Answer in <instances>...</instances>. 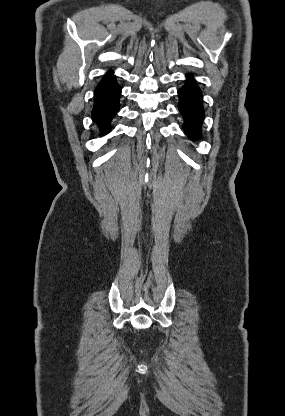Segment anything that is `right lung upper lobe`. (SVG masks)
Returning <instances> with one entry per match:
<instances>
[{
  "label": "right lung upper lobe",
  "instance_id": "obj_1",
  "mask_svg": "<svg viewBox=\"0 0 285 416\" xmlns=\"http://www.w3.org/2000/svg\"><path fill=\"white\" fill-rule=\"evenodd\" d=\"M111 76H113V72L110 70V71L106 74V76L104 77V79L110 78ZM104 79H103V80H104Z\"/></svg>",
  "mask_w": 285,
  "mask_h": 416
}]
</instances>
